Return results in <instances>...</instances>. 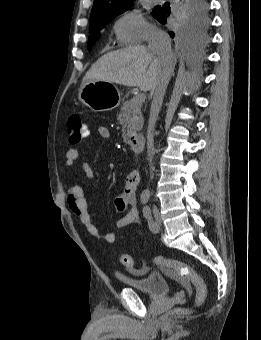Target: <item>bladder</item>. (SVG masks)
Returning <instances> with one entry per match:
<instances>
[{"mask_svg":"<svg viewBox=\"0 0 261 340\" xmlns=\"http://www.w3.org/2000/svg\"><path fill=\"white\" fill-rule=\"evenodd\" d=\"M117 279L127 287L153 297H165L170 290L168 279L161 274L152 273L139 278L117 275Z\"/></svg>","mask_w":261,"mask_h":340,"instance_id":"1","label":"bladder"}]
</instances>
